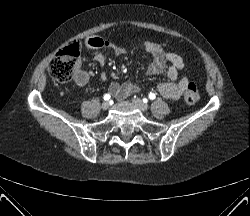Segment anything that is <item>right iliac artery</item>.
Returning a JSON list of instances; mask_svg holds the SVG:
<instances>
[{
    "label": "right iliac artery",
    "instance_id": "1",
    "mask_svg": "<svg viewBox=\"0 0 250 216\" xmlns=\"http://www.w3.org/2000/svg\"><path fill=\"white\" fill-rule=\"evenodd\" d=\"M103 98H104V100L107 101V100H109L111 98V96L109 94H105Z\"/></svg>",
    "mask_w": 250,
    "mask_h": 216
}]
</instances>
